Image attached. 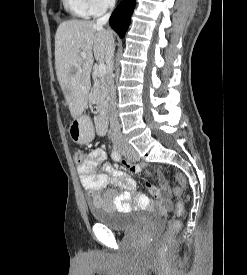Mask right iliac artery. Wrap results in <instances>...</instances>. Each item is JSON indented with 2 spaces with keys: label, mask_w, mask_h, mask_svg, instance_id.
Returning a JSON list of instances; mask_svg holds the SVG:
<instances>
[{
  "label": "right iliac artery",
  "mask_w": 247,
  "mask_h": 275,
  "mask_svg": "<svg viewBox=\"0 0 247 275\" xmlns=\"http://www.w3.org/2000/svg\"><path fill=\"white\" fill-rule=\"evenodd\" d=\"M111 157L114 161H119L121 159V155L115 150L112 151Z\"/></svg>",
  "instance_id": "right-iliac-artery-1"
}]
</instances>
